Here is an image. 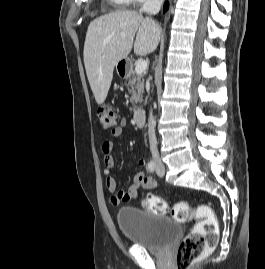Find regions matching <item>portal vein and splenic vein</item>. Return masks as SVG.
<instances>
[{"label": "portal vein and splenic vein", "instance_id": "1", "mask_svg": "<svg viewBox=\"0 0 265 269\" xmlns=\"http://www.w3.org/2000/svg\"><path fill=\"white\" fill-rule=\"evenodd\" d=\"M147 61H145V60H142V61H139L138 63H137V65H136V67H135V72L137 73V74H141V73H143L145 70H146V68H147Z\"/></svg>", "mask_w": 265, "mask_h": 269}]
</instances>
